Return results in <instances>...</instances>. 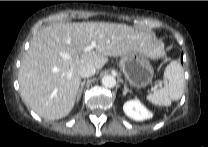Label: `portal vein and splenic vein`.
Masks as SVG:
<instances>
[{
    "label": "portal vein and splenic vein",
    "mask_w": 208,
    "mask_h": 147,
    "mask_svg": "<svg viewBox=\"0 0 208 147\" xmlns=\"http://www.w3.org/2000/svg\"><path fill=\"white\" fill-rule=\"evenodd\" d=\"M94 48H96V42L92 41L91 44L86 46L83 50H84V52H89V51L93 50ZM63 57L66 58V59L69 58L68 55H64Z\"/></svg>",
    "instance_id": "18ae733b"
}]
</instances>
